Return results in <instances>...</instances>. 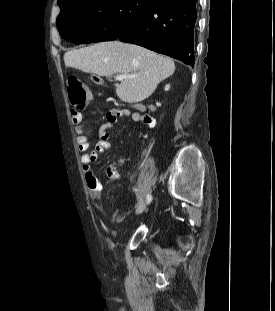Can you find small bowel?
<instances>
[{
  "mask_svg": "<svg viewBox=\"0 0 275 311\" xmlns=\"http://www.w3.org/2000/svg\"><path fill=\"white\" fill-rule=\"evenodd\" d=\"M113 116L107 115V121L104 124L102 131L100 133V139L94 146L90 148V145L86 138V127L82 119V115L79 111L74 110L72 112V118L75 123V134L76 141L78 145V150L80 152V162L82 166V172L84 175L85 183L89 191L93 194H98L102 189L103 181L99 179L91 167V163L96 161L99 155L110 148V130L115 126L119 119H124L130 116V111L127 109L116 110L112 112ZM132 119L135 122H142L148 128H154L156 125V120L150 115L142 114L141 112H134L132 114ZM121 160L111 163L108 165L106 171L109 177L118 178V165Z\"/></svg>",
  "mask_w": 275,
  "mask_h": 311,
  "instance_id": "obj_1",
  "label": "small bowel"
}]
</instances>
